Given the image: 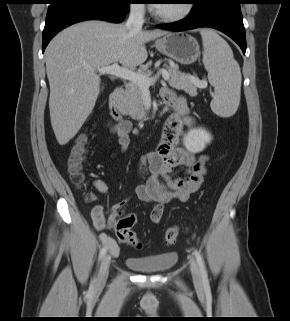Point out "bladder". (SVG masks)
<instances>
[{
    "label": "bladder",
    "mask_w": 290,
    "mask_h": 321,
    "mask_svg": "<svg viewBox=\"0 0 290 321\" xmlns=\"http://www.w3.org/2000/svg\"><path fill=\"white\" fill-rule=\"evenodd\" d=\"M177 260V253H165L150 257L130 256L125 259L126 265L143 273H161L169 270Z\"/></svg>",
    "instance_id": "1"
}]
</instances>
